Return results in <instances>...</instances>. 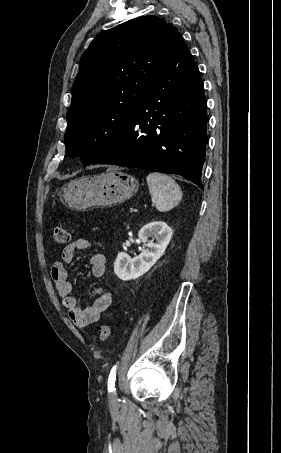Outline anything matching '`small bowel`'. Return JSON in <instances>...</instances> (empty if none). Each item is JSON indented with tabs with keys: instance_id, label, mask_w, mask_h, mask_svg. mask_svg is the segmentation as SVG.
<instances>
[{
	"instance_id": "obj_1",
	"label": "small bowel",
	"mask_w": 281,
	"mask_h": 453,
	"mask_svg": "<svg viewBox=\"0 0 281 453\" xmlns=\"http://www.w3.org/2000/svg\"><path fill=\"white\" fill-rule=\"evenodd\" d=\"M90 240L88 238H78L73 243L64 247L62 260L52 264L50 276L54 280L57 292L67 311L69 320L77 325L84 326L99 321L101 314L113 301V294L107 289H96V299L87 306H81L72 294V283L68 276L66 264L70 263L76 252H88ZM90 275L92 277H102L106 274L105 256L102 253H94L90 257Z\"/></svg>"
}]
</instances>
